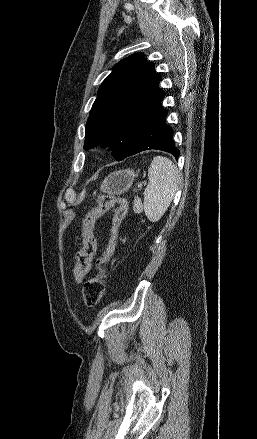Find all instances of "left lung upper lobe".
Returning a JSON list of instances; mask_svg holds the SVG:
<instances>
[{
  "label": "left lung upper lobe",
  "mask_w": 257,
  "mask_h": 439,
  "mask_svg": "<svg viewBox=\"0 0 257 439\" xmlns=\"http://www.w3.org/2000/svg\"><path fill=\"white\" fill-rule=\"evenodd\" d=\"M154 64L135 53L121 60L101 84L86 124L84 148L104 144L123 160L136 144L140 129L164 93Z\"/></svg>",
  "instance_id": "5c2ea615"
}]
</instances>
